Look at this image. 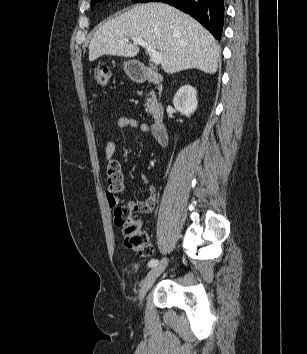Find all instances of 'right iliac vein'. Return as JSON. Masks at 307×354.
I'll use <instances>...</instances> for the list:
<instances>
[{
	"label": "right iliac vein",
	"instance_id": "right-iliac-vein-1",
	"mask_svg": "<svg viewBox=\"0 0 307 354\" xmlns=\"http://www.w3.org/2000/svg\"><path fill=\"white\" fill-rule=\"evenodd\" d=\"M168 264V259L163 258L160 264H158L156 267H154L152 270L149 271L145 279L143 280L141 284V288L139 291V304L141 305L143 302V299L148 292V290L152 287L154 284L155 280L164 272Z\"/></svg>",
	"mask_w": 307,
	"mask_h": 354
}]
</instances>
